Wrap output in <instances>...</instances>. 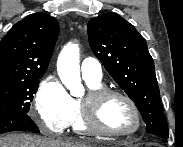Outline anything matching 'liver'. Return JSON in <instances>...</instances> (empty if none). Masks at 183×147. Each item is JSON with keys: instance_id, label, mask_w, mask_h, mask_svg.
Returning <instances> with one entry per match:
<instances>
[{"instance_id": "6515ba94", "label": "liver", "mask_w": 183, "mask_h": 147, "mask_svg": "<svg viewBox=\"0 0 183 147\" xmlns=\"http://www.w3.org/2000/svg\"><path fill=\"white\" fill-rule=\"evenodd\" d=\"M100 144L97 141L70 142L17 133L0 137V147H96Z\"/></svg>"}]
</instances>
